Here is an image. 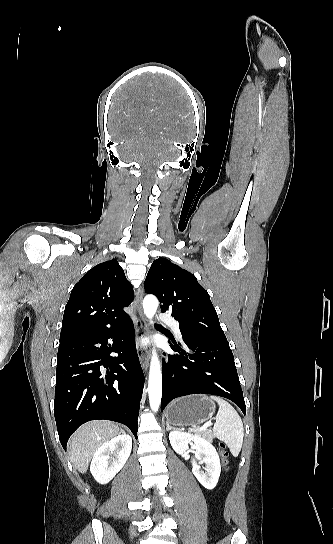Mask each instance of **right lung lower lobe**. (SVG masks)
<instances>
[{
  "instance_id": "98d812e1",
  "label": "right lung lower lobe",
  "mask_w": 333,
  "mask_h": 544,
  "mask_svg": "<svg viewBox=\"0 0 333 544\" xmlns=\"http://www.w3.org/2000/svg\"><path fill=\"white\" fill-rule=\"evenodd\" d=\"M57 360L54 415L65 450L73 432L90 420L123 423L137 437L144 374L130 316L107 329L60 341Z\"/></svg>"
}]
</instances>
